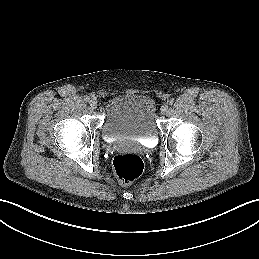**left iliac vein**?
<instances>
[{"label":"left iliac vein","instance_id":"1","mask_svg":"<svg viewBox=\"0 0 259 259\" xmlns=\"http://www.w3.org/2000/svg\"><path fill=\"white\" fill-rule=\"evenodd\" d=\"M168 111V105L167 104H164L162 107H161V113L162 114H166Z\"/></svg>","mask_w":259,"mask_h":259}]
</instances>
